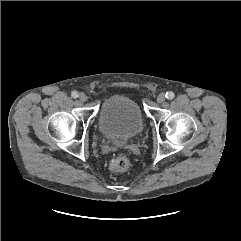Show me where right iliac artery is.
I'll list each match as a JSON object with an SVG mask.
<instances>
[{"label":"right iliac artery","instance_id":"82829eb1","mask_svg":"<svg viewBox=\"0 0 241 241\" xmlns=\"http://www.w3.org/2000/svg\"><path fill=\"white\" fill-rule=\"evenodd\" d=\"M71 96H72L73 98H77V97H78V92H77V91H73V92L71 93Z\"/></svg>","mask_w":241,"mask_h":241}]
</instances>
